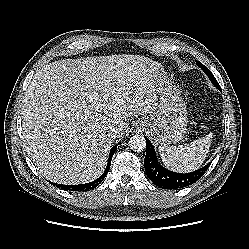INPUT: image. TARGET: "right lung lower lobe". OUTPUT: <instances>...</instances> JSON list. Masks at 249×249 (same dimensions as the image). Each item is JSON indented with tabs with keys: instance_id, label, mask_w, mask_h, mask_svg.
<instances>
[{
	"instance_id": "obj_1",
	"label": "right lung lower lobe",
	"mask_w": 249,
	"mask_h": 249,
	"mask_svg": "<svg viewBox=\"0 0 249 249\" xmlns=\"http://www.w3.org/2000/svg\"><path fill=\"white\" fill-rule=\"evenodd\" d=\"M117 146H114L111 150H110V154H109V159H108V164L107 167L104 171V173L97 178L96 180L90 182V183H86V184H79V185H61V184H56V183H52L53 185H56L59 188L65 189V190H70V191H88L91 189H94L95 187H97L106 177L110 165H111V160H112V156L116 150Z\"/></svg>"
}]
</instances>
